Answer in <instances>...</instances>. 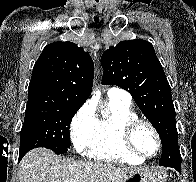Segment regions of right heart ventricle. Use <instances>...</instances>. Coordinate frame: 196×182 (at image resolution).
<instances>
[{
	"label": "right heart ventricle",
	"mask_w": 196,
	"mask_h": 182,
	"mask_svg": "<svg viewBox=\"0 0 196 182\" xmlns=\"http://www.w3.org/2000/svg\"><path fill=\"white\" fill-rule=\"evenodd\" d=\"M138 118L131 103L109 99L108 111L96 121L92 142L88 148L89 158L114 164L140 165L144 162L128 152L122 142L123 126Z\"/></svg>",
	"instance_id": "right-heart-ventricle-1"
}]
</instances>
